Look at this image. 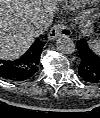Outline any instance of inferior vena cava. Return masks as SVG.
<instances>
[{
	"label": "inferior vena cava",
	"mask_w": 100,
	"mask_h": 118,
	"mask_svg": "<svg viewBox=\"0 0 100 118\" xmlns=\"http://www.w3.org/2000/svg\"><path fill=\"white\" fill-rule=\"evenodd\" d=\"M51 24L52 17H45L34 23L33 30L39 35L47 31Z\"/></svg>",
	"instance_id": "1"
}]
</instances>
